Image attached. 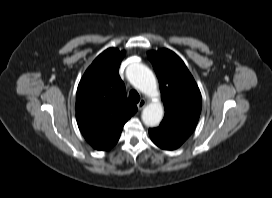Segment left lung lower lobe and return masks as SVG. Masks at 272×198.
Returning <instances> with one entry per match:
<instances>
[{
    "instance_id": "1",
    "label": "left lung lower lobe",
    "mask_w": 272,
    "mask_h": 198,
    "mask_svg": "<svg viewBox=\"0 0 272 198\" xmlns=\"http://www.w3.org/2000/svg\"><path fill=\"white\" fill-rule=\"evenodd\" d=\"M149 135L155 145L165 150L177 149L189 137L163 125L149 129Z\"/></svg>"
}]
</instances>
